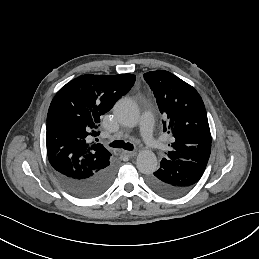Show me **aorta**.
<instances>
[{"label": "aorta", "mask_w": 259, "mask_h": 259, "mask_svg": "<svg viewBox=\"0 0 259 259\" xmlns=\"http://www.w3.org/2000/svg\"><path fill=\"white\" fill-rule=\"evenodd\" d=\"M117 120L126 127H134L139 121L137 105L130 99L122 98L114 106ZM156 155L150 150H142L136 159V167L143 174H152L157 170Z\"/></svg>", "instance_id": "762f6f07"}]
</instances>
